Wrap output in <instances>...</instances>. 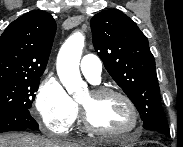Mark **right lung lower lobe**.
<instances>
[{
	"instance_id": "right-lung-lower-lobe-1",
	"label": "right lung lower lobe",
	"mask_w": 183,
	"mask_h": 147,
	"mask_svg": "<svg viewBox=\"0 0 183 147\" xmlns=\"http://www.w3.org/2000/svg\"><path fill=\"white\" fill-rule=\"evenodd\" d=\"M37 122L28 109H16L0 112V133L8 131L37 130Z\"/></svg>"
}]
</instances>
